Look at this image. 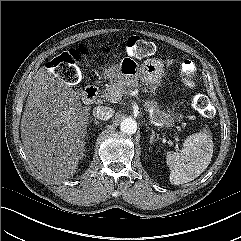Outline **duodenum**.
<instances>
[{"instance_id":"410a0bca","label":"duodenum","mask_w":241,"mask_h":241,"mask_svg":"<svg viewBox=\"0 0 241 241\" xmlns=\"http://www.w3.org/2000/svg\"><path fill=\"white\" fill-rule=\"evenodd\" d=\"M98 95V86L89 85L85 88L83 93V100L86 103H92Z\"/></svg>"}]
</instances>
